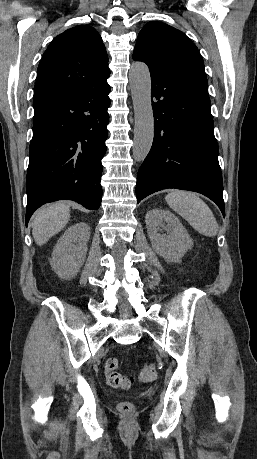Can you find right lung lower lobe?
I'll return each instance as SVG.
<instances>
[{
  "mask_svg": "<svg viewBox=\"0 0 257 459\" xmlns=\"http://www.w3.org/2000/svg\"><path fill=\"white\" fill-rule=\"evenodd\" d=\"M107 81L34 105L26 179V226L41 205L62 199L97 209L110 105Z\"/></svg>",
  "mask_w": 257,
  "mask_h": 459,
  "instance_id": "right-lung-lower-lobe-1",
  "label": "right lung lower lobe"
}]
</instances>
